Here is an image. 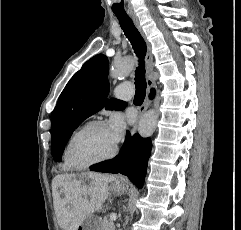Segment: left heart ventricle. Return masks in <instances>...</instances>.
I'll list each match as a JSON object with an SVG mask.
<instances>
[{"mask_svg":"<svg viewBox=\"0 0 241 230\" xmlns=\"http://www.w3.org/2000/svg\"><path fill=\"white\" fill-rule=\"evenodd\" d=\"M115 145L106 126L95 127L77 139L72 149V156L77 163L88 162L108 155Z\"/></svg>","mask_w":241,"mask_h":230,"instance_id":"b2bd125f","label":"left heart ventricle"}]
</instances>
